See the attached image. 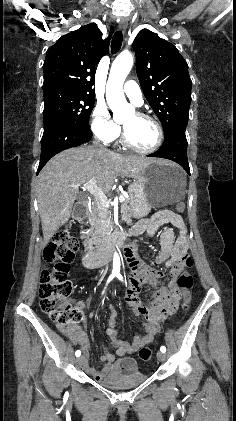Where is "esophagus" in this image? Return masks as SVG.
Returning a JSON list of instances; mask_svg holds the SVG:
<instances>
[{"label": "esophagus", "mask_w": 236, "mask_h": 421, "mask_svg": "<svg viewBox=\"0 0 236 421\" xmlns=\"http://www.w3.org/2000/svg\"><path fill=\"white\" fill-rule=\"evenodd\" d=\"M127 26H128V22H127V20H125V19H121V20L119 21V28H120V30H122L123 32H125V31H126Z\"/></svg>", "instance_id": "obj_1"}]
</instances>
